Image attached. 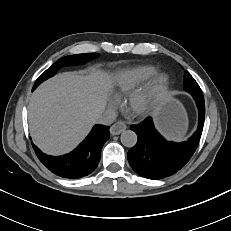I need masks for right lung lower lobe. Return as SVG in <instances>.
<instances>
[{"mask_svg": "<svg viewBox=\"0 0 231 231\" xmlns=\"http://www.w3.org/2000/svg\"><path fill=\"white\" fill-rule=\"evenodd\" d=\"M109 127L95 125L85 140L72 152L63 156H48L33 143L39 160L57 176L77 179L92 173L98 166L101 149L109 139Z\"/></svg>", "mask_w": 231, "mask_h": 231, "instance_id": "98d812e1", "label": "right lung lower lobe"}]
</instances>
